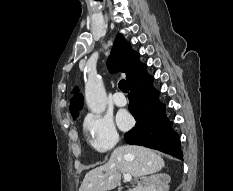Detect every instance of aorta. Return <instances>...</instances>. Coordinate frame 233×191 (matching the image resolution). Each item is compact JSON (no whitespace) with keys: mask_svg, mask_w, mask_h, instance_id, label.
I'll use <instances>...</instances> for the list:
<instances>
[{"mask_svg":"<svg viewBox=\"0 0 233 191\" xmlns=\"http://www.w3.org/2000/svg\"><path fill=\"white\" fill-rule=\"evenodd\" d=\"M85 99L88 108L95 114L106 110L107 97L102 81L97 77H89L85 84Z\"/></svg>","mask_w":233,"mask_h":191,"instance_id":"1","label":"aorta"}]
</instances>
